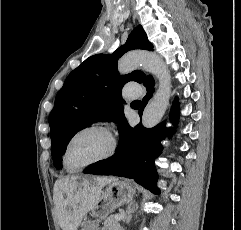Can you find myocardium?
Listing matches in <instances>:
<instances>
[{
	"mask_svg": "<svg viewBox=\"0 0 241 230\" xmlns=\"http://www.w3.org/2000/svg\"><path fill=\"white\" fill-rule=\"evenodd\" d=\"M87 130H101V131L105 132L109 136L110 141H111L110 148L104 155H102L96 159H93L89 162H86L78 167L71 168L67 162V154H68L69 146H70L72 140L77 135H79L80 133L87 131ZM117 148H118L117 140H116L115 136L113 135L111 129L105 123H102V122L89 123L87 125L82 126L78 130H76L67 140L64 150H63V155H62L63 164L68 171H79V170L85 169L89 166H92V165H95V164H98V163L111 159L116 154Z\"/></svg>",
	"mask_w": 241,
	"mask_h": 230,
	"instance_id": "f54148a6",
	"label": "myocardium"
}]
</instances>
